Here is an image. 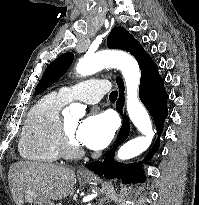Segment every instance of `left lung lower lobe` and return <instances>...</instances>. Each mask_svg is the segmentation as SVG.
Listing matches in <instances>:
<instances>
[{"instance_id": "0a47b994", "label": "left lung lower lobe", "mask_w": 199, "mask_h": 205, "mask_svg": "<svg viewBox=\"0 0 199 205\" xmlns=\"http://www.w3.org/2000/svg\"><path fill=\"white\" fill-rule=\"evenodd\" d=\"M126 51L130 52L139 63L141 69L139 97L152 115L158 131V136H160L165 118L168 115V95L164 89V80L158 74L157 65L152 61L148 53L145 52L137 40L133 39ZM116 82L120 90V97L116 103V109L124 118L123 125L117 137L116 146L105 156L103 162H94L88 165L87 168L108 179L119 178L123 183L145 182L146 178L141 163L123 164L114 160L116 148L126 140L130 132L129 121L125 119L122 112L124 105V84L120 77L116 78ZM158 148L159 137L144 160L147 161L151 159Z\"/></svg>"}]
</instances>
